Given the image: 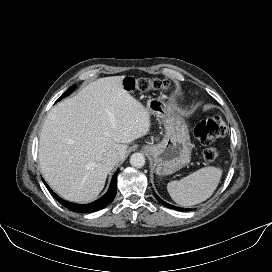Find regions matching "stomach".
Masks as SVG:
<instances>
[{
  "instance_id": "1",
  "label": "stomach",
  "mask_w": 272,
  "mask_h": 272,
  "mask_svg": "<svg viewBox=\"0 0 272 272\" xmlns=\"http://www.w3.org/2000/svg\"><path fill=\"white\" fill-rule=\"evenodd\" d=\"M150 115L162 119L165 127L163 140L158 144H148L144 150L153 158L158 175H170L190 162L191 142L185 123L170 115L164 101L153 98L147 101Z\"/></svg>"
}]
</instances>
